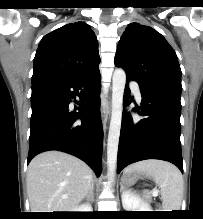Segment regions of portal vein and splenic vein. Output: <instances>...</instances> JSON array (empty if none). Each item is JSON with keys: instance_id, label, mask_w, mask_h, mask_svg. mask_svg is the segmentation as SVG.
I'll list each match as a JSON object with an SVG mask.
<instances>
[{"instance_id": "1", "label": "portal vein and splenic vein", "mask_w": 203, "mask_h": 219, "mask_svg": "<svg viewBox=\"0 0 203 219\" xmlns=\"http://www.w3.org/2000/svg\"><path fill=\"white\" fill-rule=\"evenodd\" d=\"M152 194H153V196H157L158 195V190L154 189Z\"/></svg>"}]
</instances>
